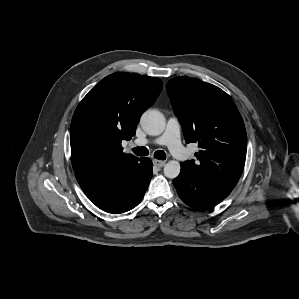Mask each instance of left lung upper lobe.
I'll use <instances>...</instances> for the list:
<instances>
[{
	"label": "left lung upper lobe",
	"instance_id": "1",
	"mask_svg": "<svg viewBox=\"0 0 299 299\" xmlns=\"http://www.w3.org/2000/svg\"><path fill=\"white\" fill-rule=\"evenodd\" d=\"M167 93L187 143L197 142V161L181 165L190 173L233 189L246 158L247 136L243 119L223 90L190 77H176Z\"/></svg>",
	"mask_w": 299,
	"mask_h": 299
}]
</instances>
